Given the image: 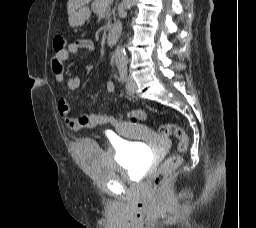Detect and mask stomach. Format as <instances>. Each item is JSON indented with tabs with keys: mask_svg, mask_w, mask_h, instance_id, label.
Segmentation results:
<instances>
[{
	"mask_svg": "<svg viewBox=\"0 0 256 228\" xmlns=\"http://www.w3.org/2000/svg\"><path fill=\"white\" fill-rule=\"evenodd\" d=\"M90 15L89 7L82 6L69 15V25L71 27H80L90 18Z\"/></svg>",
	"mask_w": 256,
	"mask_h": 228,
	"instance_id": "obj_1",
	"label": "stomach"
}]
</instances>
